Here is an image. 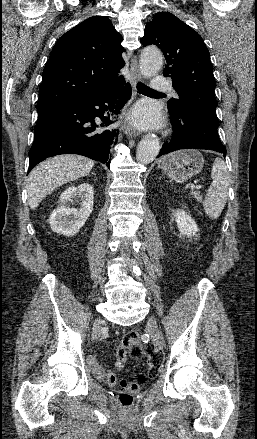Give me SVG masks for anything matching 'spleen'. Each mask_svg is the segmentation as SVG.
I'll return each instance as SVG.
<instances>
[{"mask_svg": "<svg viewBox=\"0 0 257 439\" xmlns=\"http://www.w3.org/2000/svg\"><path fill=\"white\" fill-rule=\"evenodd\" d=\"M211 178L213 181L203 202V208L206 215L214 220L220 216L228 197L229 173L222 159H215Z\"/></svg>", "mask_w": 257, "mask_h": 439, "instance_id": "spleen-1", "label": "spleen"}]
</instances>
